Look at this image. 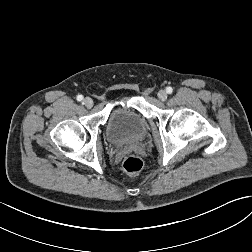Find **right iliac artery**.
<instances>
[{
  "label": "right iliac artery",
  "mask_w": 252,
  "mask_h": 252,
  "mask_svg": "<svg viewBox=\"0 0 252 252\" xmlns=\"http://www.w3.org/2000/svg\"><path fill=\"white\" fill-rule=\"evenodd\" d=\"M77 100H78V101H82V100H83V96H82V95H78V96H77Z\"/></svg>",
  "instance_id": "obj_1"
}]
</instances>
